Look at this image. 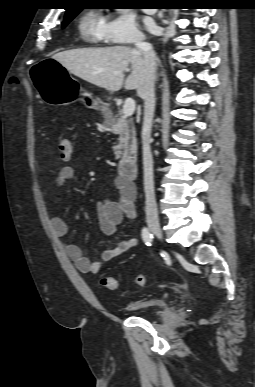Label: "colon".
<instances>
[{
	"label": "colon",
	"instance_id": "5ec220e1",
	"mask_svg": "<svg viewBox=\"0 0 255 387\" xmlns=\"http://www.w3.org/2000/svg\"><path fill=\"white\" fill-rule=\"evenodd\" d=\"M58 151L60 156L69 157L74 153V145L72 140L66 136L58 138ZM101 285L110 291L118 289V281L113 276H103L100 281ZM134 284L138 287H143L146 284V277L139 274L134 279Z\"/></svg>",
	"mask_w": 255,
	"mask_h": 387
}]
</instances>
